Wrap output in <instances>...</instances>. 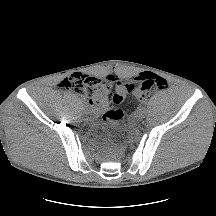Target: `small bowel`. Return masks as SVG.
Here are the masks:
<instances>
[{"label": "small bowel", "mask_w": 216, "mask_h": 216, "mask_svg": "<svg viewBox=\"0 0 216 216\" xmlns=\"http://www.w3.org/2000/svg\"><path fill=\"white\" fill-rule=\"evenodd\" d=\"M79 75H81V74H75V75H73V76H79ZM107 79L110 81V82H118V80H119V78H116V77H114L113 75H108L107 76ZM119 83V82H118ZM95 110V109H94ZM96 111V110H95Z\"/></svg>", "instance_id": "1"}]
</instances>
